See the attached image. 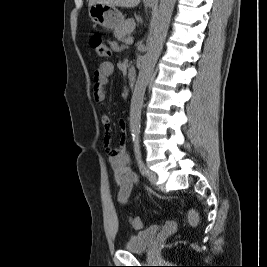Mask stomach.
Here are the masks:
<instances>
[{"label":"stomach","mask_w":267,"mask_h":267,"mask_svg":"<svg viewBox=\"0 0 267 267\" xmlns=\"http://www.w3.org/2000/svg\"><path fill=\"white\" fill-rule=\"evenodd\" d=\"M153 7V3H148ZM91 20L105 29L118 30L124 23L125 18L122 13L114 6L105 4H94L88 9Z\"/></svg>","instance_id":"1"}]
</instances>
